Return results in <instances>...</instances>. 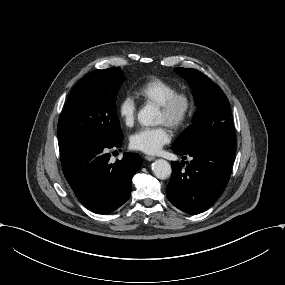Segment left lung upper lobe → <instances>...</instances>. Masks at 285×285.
<instances>
[{
    "instance_id": "obj_1",
    "label": "left lung upper lobe",
    "mask_w": 285,
    "mask_h": 285,
    "mask_svg": "<svg viewBox=\"0 0 285 285\" xmlns=\"http://www.w3.org/2000/svg\"><path fill=\"white\" fill-rule=\"evenodd\" d=\"M190 84L197 111L190 125L174 142L172 150L186 154L207 142L220 138H235L228 99L207 76L196 69L175 68Z\"/></svg>"
}]
</instances>
